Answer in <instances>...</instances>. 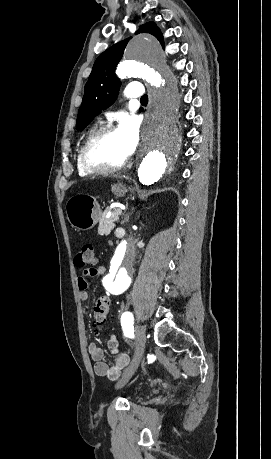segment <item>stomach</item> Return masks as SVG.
I'll return each mask as SVG.
<instances>
[{
  "instance_id": "0dacf381",
  "label": "stomach",
  "mask_w": 271,
  "mask_h": 459,
  "mask_svg": "<svg viewBox=\"0 0 271 459\" xmlns=\"http://www.w3.org/2000/svg\"><path fill=\"white\" fill-rule=\"evenodd\" d=\"M133 188H126L123 184H113L112 192L115 196H124ZM66 216L69 224L75 229H91L100 220L101 210L95 198L87 194H78L70 198L66 204Z\"/></svg>"
}]
</instances>
